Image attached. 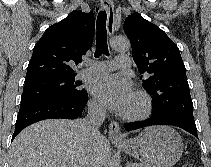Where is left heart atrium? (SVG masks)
I'll use <instances>...</instances> for the list:
<instances>
[{"label":"left heart atrium","instance_id":"left-heart-atrium-1","mask_svg":"<svg viewBox=\"0 0 211 167\" xmlns=\"http://www.w3.org/2000/svg\"><path fill=\"white\" fill-rule=\"evenodd\" d=\"M90 93L102 104L118 112H125L133 98L130 84L116 76L105 75L89 83Z\"/></svg>","mask_w":211,"mask_h":167}]
</instances>
